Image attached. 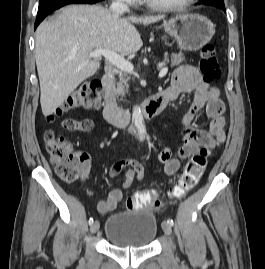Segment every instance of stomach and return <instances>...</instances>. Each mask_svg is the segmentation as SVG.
<instances>
[{
    "label": "stomach",
    "instance_id": "stomach-1",
    "mask_svg": "<svg viewBox=\"0 0 265 269\" xmlns=\"http://www.w3.org/2000/svg\"><path fill=\"white\" fill-rule=\"evenodd\" d=\"M163 28L182 49L188 51L201 49L215 33L213 23L200 14L176 15L164 21Z\"/></svg>",
    "mask_w": 265,
    "mask_h": 269
}]
</instances>
